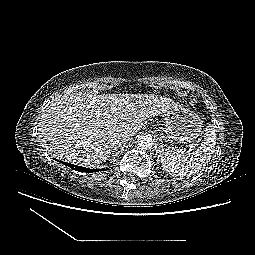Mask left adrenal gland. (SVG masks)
I'll return each instance as SVG.
<instances>
[{
  "instance_id": "a2214340",
  "label": "left adrenal gland",
  "mask_w": 255,
  "mask_h": 255,
  "mask_svg": "<svg viewBox=\"0 0 255 255\" xmlns=\"http://www.w3.org/2000/svg\"><path fill=\"white\" fill-rule=\"evenodd\" d=\"M160 147H163V143L161 142V146ZM159 152H161L160 151V148H159ZM158 153V152H157ZM157 155V154H156ZM160 155H158V157H159Z\"/></svg>"
}]
</instances>
